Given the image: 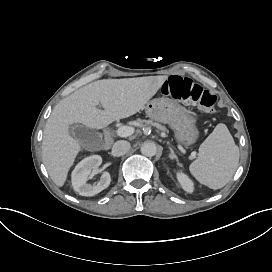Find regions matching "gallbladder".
I'll use <instances>...</instances> for the list:
<instances>
[{
    "label": "gallbladder",
    "instance_id": "gallbladder-1",
    "mask_svg": "<svg viewBox=\"0 0 272 272\" xmlns=\"http://www.w3.org/2000/svg\"><path fill=\"white\" fill-rule=\"evenodd\" d=\"M72 134L87 149H90L103 141L100 133L83 125H73Z\"/></svg>",
    "mask_w": 272,
    "mask_h": 272
}]
</instances>
